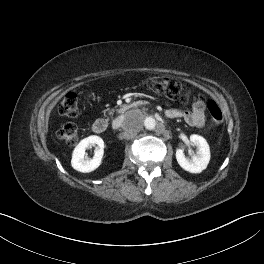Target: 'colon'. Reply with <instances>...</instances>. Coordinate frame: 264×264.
Here are the masks:
<instances>
[{
    "mask_svg": "<svg viewBox=\"0 0 264 264\" xmlns=\"http://www.w3.org/2000/svg\"><path fill=\"white\" fill-rule=\"evenodd\" d=\"M145 84L152 91L163 94L172 99L186 101L190 97V92L182 87V85L175 81L164 77L149 78ZM80 97L76 93L66 94L59 104V112L65 116H75L79 111ZM207 111L216 125L223 121V113L219 105L210 100L207 102ZM60 140L68 145H74L79 139L78 127L74 123L64 124L57 132Z\"/></svg>",
    "mask_w": 264,
    "mask_h": 264,
    "instance_id": "5ec220e1",
    "label": "colon"
}]
</instances>
